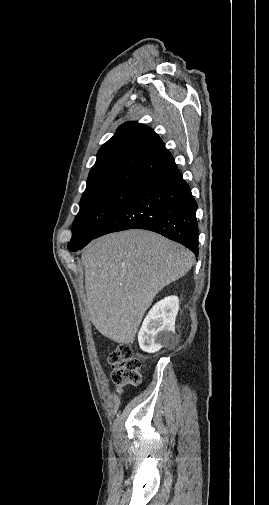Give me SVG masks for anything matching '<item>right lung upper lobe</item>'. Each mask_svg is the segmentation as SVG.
Masks as SVG:
<instances>
[{"instance_id":"1","label":"right lung upper lobe","mask_w":269,"mask_h":505,"mask_svg":"<svg viewBox=\"0 0 269 505\" xmlns=\"http://www.w3.org/2000/svg\"><path fill=\"white\" fill-rule=\"evenodd\" d=\"M173 164L171 153L150 127L126 122L98 151L86 190L114 184L139 188Z\"/></svg>"}]
</instances>
